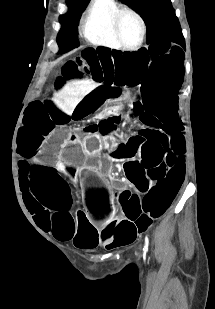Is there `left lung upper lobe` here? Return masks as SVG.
<instances>
[{
  "label": "left lung upper lobe",
  "mask_w": 215,
  "mask_h": 309,
  "mask_svg": "<svg viewBox=\"0 0 215 309\" xmlns=\"http://www.w3.org/2000/svg\"><path fill=\"white\" fill-rule=\"evenodd\" d=\"M143 18L147 26V44L160 41L184 45L179 21L170 0H124Z\"/></svg>",
  "instance_id": "obj_1"
}]
</instances>
